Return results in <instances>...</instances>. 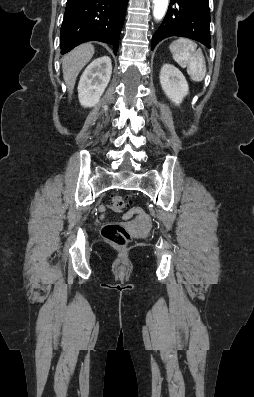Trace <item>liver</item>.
Listing matches in <instances>:
<instances>
[{
    "label": "liver",
    "instance_id": "6515ba94",
    "mask_svg": "<svg viewBox=\"0 0 254 397\" xmlns=\"http://www.w3.org/2000/svg\"><path fill=\"white\" fill-rule=\"evenodd\" d=\"M94 52L93 45L85 43L76 47L62 58L63 78L70 97L79 72L92 59Z\"/></svg>",
    "mask_w": 254,
    "mask_h": 397
}]
</instances>
